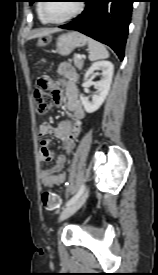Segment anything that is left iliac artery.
<instances>
[{"instance_id": "44dca946", "label": "left iliac artery", "mask_w": 158, "mask_h": 275, "mask_svg": "<svg viewBox=\"0 0 158 275\" xmlns=\"http://www.w3.org/2000/svg\"><path fill=\"white\" fill-rule=\"evenodd\" d=\"M85 186L82 185L79 189V191L66 203V206L71 205L74 203L84 192Z\"/></svg>"}]
</instances>
